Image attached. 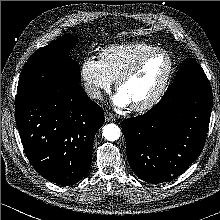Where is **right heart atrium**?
<instances>
[{
	"label": "right heart atrium",
	"mask_w": 220,
	"mask_h": 220,
	"mask_svg": "<svg viewBox=\"0 0 220 220\" xmlns=\"http://www.w3.org/2000/svg\"><path fill=\"white\" fill-rule=\"evenodd\" d=\"M81 78L86 93L94 100H101L103 93L110 89L113 82L100 60L94 57H88L82 63Z\"/></svg>",
	"instance_id": "1"
}]
</instances>
